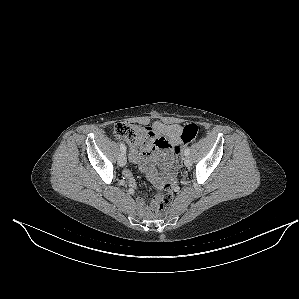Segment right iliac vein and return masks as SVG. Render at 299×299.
I'll return each instance as SVG.
<instances>
[{"instance_id":"obj_1","label":"right iliac vein","mask_w":299,"mask_h":299,"mask_svg":"<svg viewBox=\"0 0 299 299\" xmlns=\"http://www.w3.org/2000/svg\"><path fill=\"white\" fill-rule=\"evenodd\" d=\"M125 164H126V155L124 153H122L118 158V165L120 167H123V166H125Z\"/></svg>"}]
</instances>
